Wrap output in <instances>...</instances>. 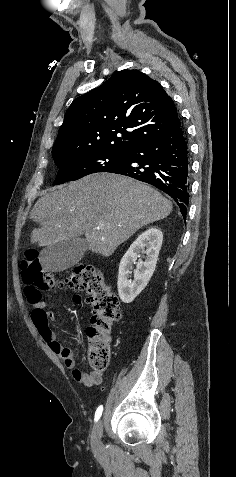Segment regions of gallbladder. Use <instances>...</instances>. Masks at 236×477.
<instances>
[{"label":"gallbladder","mask_w":236,"mask_h":477,"mask_svg":"<svg viewBox=\"0 0 236 477\" xmlns=\"http://www.w3.org/2000/svg\"><path fill=\"white\" fill-rule=\"evenodd\" d=\"M87 249V241L75 237L44 248L40 254V261L45 269L60 272L77 264Z\"/></svg>","instance_id":"bac80fb5"}]
</instances>
